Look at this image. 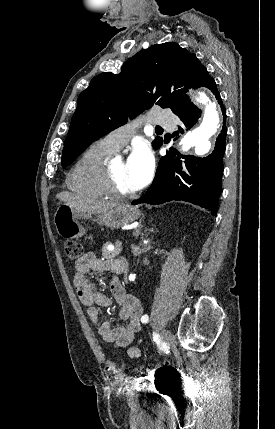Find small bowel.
Returning a JSON list of instances; mask_svg holds the SVG:
<instances>
[{
	"instance_id": "obj_1",
	"label": "small bowel",
	"mask_w": 275,
	"mask_h": 429,
	"mask_svg": "<svg viewBox=\"0 0 275 429\" xmlns=\"http://www.w3.org/2000/svg\"><path fill=\"white\" fill-rule=\"evenodd\" d=\"M117 262L101 260L93 253L88 252L75 263L73 283L80 301L87 306L90 321L97 326L101 337L116 348H124L130 345L135 333L140 329V317L143 309L139 299L127 293L117 278L112 279L110 283L112 297L120 306L118 320L124 323L121 326H113L109 319L101 320L100 311V308H107L112 304V298L96 291L94 284L88 277L90 272L115 271ZM128 354L132 358H137L140 356V350L131 347Z\"/></svg>"
}]
</instances>
